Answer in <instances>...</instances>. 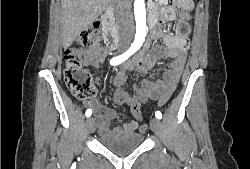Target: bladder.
<instances>
[{"instance_id":"bladder-1","label":"bladder","mask_w":250,"mask_h":169,"mask_svg":"<svg viewBox=\"0 0 250 169\" xmlns=\"http://www.w3.org/2000/svg\"><path fill=\"white\" fill-rule=\"evenodd\" d=\"M144 141L143 134L136 133H99L101 147L111 151L118 157H126L137 151Z\"/></svg>"}]
</instances>
